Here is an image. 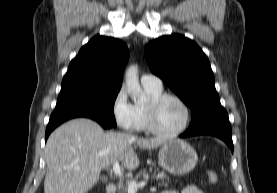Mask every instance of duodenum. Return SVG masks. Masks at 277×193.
Listing matches in <instances>:
<instances>
[{
	"mask_svg": "<svg viewBox=\"0 0 277 193\" xmlns=\"http://www.w3.org/2000/svg\"><path fill=\"white\" fill-rule=\"evenodd\" d=\"M116 185L114 183H109L107 184L106 188H105V192L106 193H115L116 192Z\"/></svg>",
	"mask_w": 277,
	"mask_h": 193,
	"instance_id": "duodenum-1",
	"label": "duodenum"
}]
</instances>
